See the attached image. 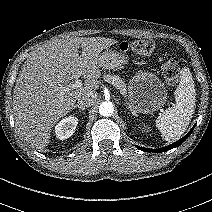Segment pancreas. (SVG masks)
Wrapping results in <instances>:
<instances>
[{
    "label": "pancreas",
    "mask_w": 212,
    "mask_h": 212,
    "mask_svg": "<svg viewBox=\"0 0 212 212\" xmlns=\"http://www.w3.org/2000/svg\"><path fill=\"white\" fill-rule=\"evenodd\" d=\"M103 79L115 86L117 89L120 90V92L125 93L126 92V85L123 82V80L118 75H104Z\"/></svg>",
    "instance_id": "obj_1"
}]
</instances>
